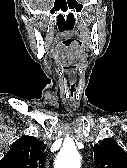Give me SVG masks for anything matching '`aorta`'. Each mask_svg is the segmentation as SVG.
Instances as JSON below:
<instances>
[{"label": "aorta", "mask_w": 127, "mask_h": 168, "mask_svg": "<svg viewBox=\"0 0 127 168\" xmlns=\"http://www.w3.org/2000/svg\"><path fill=\"white\" fill-rule=\"evenodd\" d=\"M81 157L75 146H66L61 149L55 161L54 168H80Z\"/></svg>", "instance_id": "762f6f07"}]
</instances>
